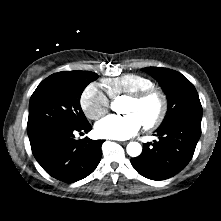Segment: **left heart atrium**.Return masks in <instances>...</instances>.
Returning <instances> with one entry per match:
<instances>
[{
	"label": "left heart atrium",
	"instance_id": "1",
	"mask_svg": "<svg viewBox=\"0 0 221 221\" xmlns=\"http://www.w3.org/2000/svg\"><path fill=\"white\" fill-rule=\"evenodd\" d=\"M142 124L135 113L109 115L95 125V131L102 138L123 140L135 135Z\"/></svg>",
	"mask_w": 221,
	"mask_h": 221
}]
</instances>
